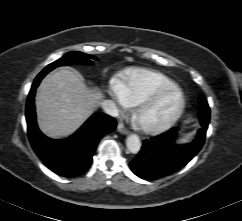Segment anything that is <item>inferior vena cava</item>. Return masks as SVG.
Masks as SVG:
<instances>
[{
	"instance_id": "1",
	"label": "inferior vena cava",
	"mask_w": 242,
	"mask_h": 221,
	"mask_svg": "<svg viewBox=\"0 0 242 221\" xmlns=\"http://www.w3.org/2000/svg\"><path fill=\"white\" fill-rule=\"evenodd\" d=\"M101 107L103 108L104 112L112 117H118V109L115 103L111 100H105L101 103Z\"/></svg>"
}]
</instances>
